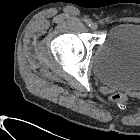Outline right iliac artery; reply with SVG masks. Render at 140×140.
<instances>
[{"instance_id": "right-iliac-artery-1", "label": "right iliac artery", "mask_w": 140, "mask_h": 140, "mask_svg": "<svg viewBox=\"0 0 140 140\" xmlns=\"http://www.w3.org/2000/svg\"><path fill=\"white\" fill-rule=\"evenodd\" d=\"M87 26H91L92 21L90 19H85L84 20Z\"/></svg>"}]
</instances>
